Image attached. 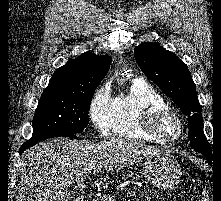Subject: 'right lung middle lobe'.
Instances as JSON below:
<instances>
[{"label": "right lung middle lobe", "mask_w": 221, "mask_h": 201, "mask_svg": "<svg viewBox=\"0 0 221 201\" xmlns=\"http://www.w3.org/2000/svg\"><path fill=\"white\" fill-rule=\"evenodd\" d=\"M94 91L72 94L43 91L33 118V134L80 133L88 125V110Z\"/></svg>", "instance_id": "obj_1"}]
</instances>
